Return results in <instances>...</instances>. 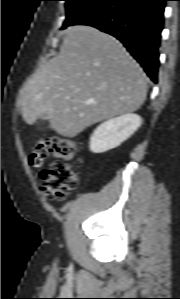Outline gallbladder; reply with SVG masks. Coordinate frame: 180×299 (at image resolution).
Instances as JSON below:
<instances>
[{
  "instance_id": "obj_1",
  "label": "gallbladder",
  "mask_w": 180,
  "mask_h": 299,
  "mask_svg": "<svg viewBox=\"0 0 180 299\" xmlns=\"http://www.w3.org/2000/svg\"><path fill=\"white\" fill-rule=\"evenodd\" d=\"M42 118H43L44 120H48V116H47L46 114L42 115Z\"/></svg>"
}]
</instances>
